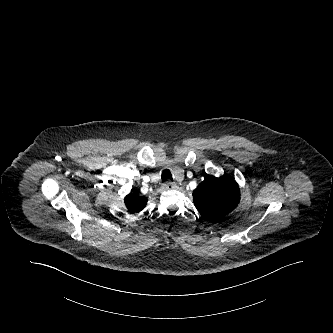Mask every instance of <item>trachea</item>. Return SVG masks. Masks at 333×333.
I'll return each instance as SVG.
<instances>
[{"label": "trachea", "instance_id": "obj_1", "mask_svg": "<svg viewBox=\"0 0 333 333\" xmlns=\"http://www.w3.org/2000/svg\"><path fill=\"white\" fill-rule=\"evenodd\" d=\"M161 179H162V181L163 182H165V181H168V180H173V178H172V174H171V172L169 171V170H164L163 172H162V175H161Z\"/></svg>", "mask_w": 333, "mask_h": 333}]
</instances>
